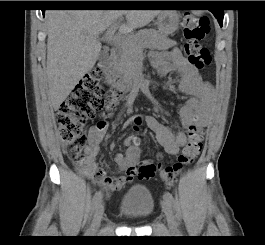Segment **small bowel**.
<instances>
[{
    "label": "small bowel",
    "mask_w": 265,
    "mask_h": 245,
    "mask_svg": "<svg viewBox=\"0 0 265 245\" xmlns=\"http://www.w3.org/2000/svg\"><path fill=\"white\" fill-rule=\"evenodd\" d=\"M149 57L152 68L160 77H164L171 72L178 73L180 75L179 91L189 95L179 110L181 129L178 131H172L153 115L146 117L148 126L155 132L165 151L171 155H176L186 144L189 131L193 127L205 126L206 122L199 121L198 116L199 112L210 103L214 89L201 78L198 69L182 56L178 48H172L165 52H152ZM133 103L134 99L129 98L124 106L123 113H129L132 110ZM134 118L131 117L126 120L124 127L129 126ZM104 134L105 126L93 127L89 130L87 146L84 151L85 161L78 170L85 178L104 187L108 193H113L134 179V165L140 158L141 148L136 144L135 138H125L123 141L126 148L125 154L117 153L114 156V161L119 169L125 172V175L119 177L108 176L106 171L99 168L95 163L99 143ZM113 148L112 145L111 149Z\"/></svg>",
    "instance_id": "1"
}]
</instances>
